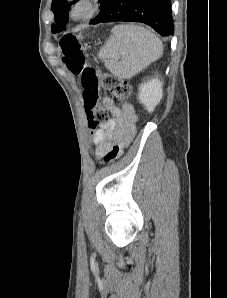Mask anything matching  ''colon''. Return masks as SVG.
<instances>
[{"label": "colon", "mask_w": 227, "mask_h": 298, "mask_svg": "<svg viewBox=\"0 0 227 298\" xmlns=\"http://www.w3.org/2000/svg\"><path fill=\"white\" fill-rule=\"evenodd\" d=\"M60 46L63 62L68 70L73 75L81 76L88 127L95 129L109 120L107 111L99 107V90L109 91L117 98H127L132 93V86L110 73L97 72L94 68L87 66L86 54L90 50L89 44L80 43L73 36H65Z\"/></svg>", "instance_id": "colon-1"}]
</instances>
